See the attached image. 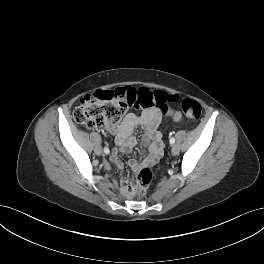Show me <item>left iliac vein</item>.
<instances>
[{
	"label": "left iliac vein",
	"mask_w": 264,
	"mask_h": 264,
	"mask_svg": "<svg viewBox=\"0 0 264 264\" xmlns=\"http://www.w3.org/2000/svg\"><path fill=\"white\" fill-rule=\"evenodd\" d=\"M179 150H180L179 146L177 144H174L172 146L171 152H172L173 155H177L179 153Z\"/></svg>",
	"instance_id": "1"
}]
</instances>
